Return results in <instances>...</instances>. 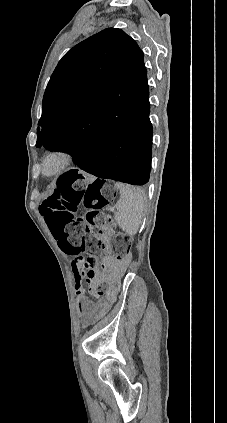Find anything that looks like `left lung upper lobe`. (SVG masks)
<instances>
[{"label":"left lung upper lobe","mask_w":227,"mask_h":423,"mask_svg":"<svg viewBox=\"0 0 227 423\" xmlns=\"http://www.w3.org/2000/svg\"><path fill=\"white\" fill-rule=\"evenodd\" d=\"M36 147L83 136L108 112L149 107L147 71L137 43L108 28L70 49L46 87Z\"/></svg>","instance_id":"obj_1"}]
</instances>
